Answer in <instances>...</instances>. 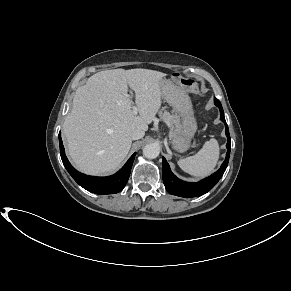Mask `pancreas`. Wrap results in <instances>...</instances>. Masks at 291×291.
I'll list each match as a JSON object with an SVG mask.
<instances>
[{"mask_svg": "<svg viewBox=\"0 0 291 291\" xmlns=\"http://www.w3.org/2000/svg\"><path fill=\"white\" fill-rule=\"evenodd\" d=\"M160 119L165 122L168 126L173 128V125L178 127V118L175 115H171L169 112L163 110L159 112ZM176 134V131L171 130L170 137H173Z\"/></svg>", "mask_w": 291, "mask_h": 291, "instance_id": "obj_1", "label": "pancreas"}]
</instances>
